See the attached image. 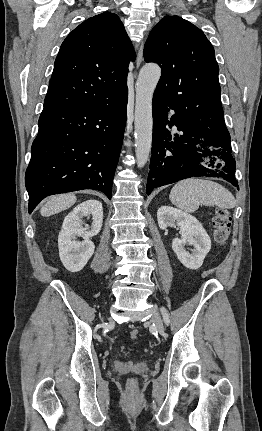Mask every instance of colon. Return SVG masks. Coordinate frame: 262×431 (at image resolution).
<instances>
[{"instance_id": "obj_1", "label": "colon", "mask_w": 262, "mask_h": 431, "mask_svg": "<svg viewBox=\"0 0 262 431\" xmlns=\"http://www.w3.org/2000/svg\"><path fill=\"white\" fill-rule=\"evenodd\" d=\"M213 226V238L217 245L224 246L228 240L230 227H231V216L227 209L217 208L212 221ZM139 330L134 328L130 331L131 338H137ZM131 385L135 384V380L130 381Z\"/></svg>"}]
</instances>
